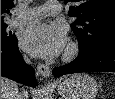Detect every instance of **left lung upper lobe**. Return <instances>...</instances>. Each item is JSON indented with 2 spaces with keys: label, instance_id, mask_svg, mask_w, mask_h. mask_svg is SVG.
Returning a JSON list of instances; mask_svg holds the SVG:
<instances>
[{
  "label": "left lung upper lobe",
  "instance_id": "obj_1",
  "mask_svg": "<svg viewBox=\"0 0 115 99\" xmlns=\"http://www.w3.org/2000/svg\"><path fill=\"white\" fill-rule=\"evenodd\" d=\"M72 1L68 15L77 19L71 28L78 38L79 53H88L106 46H115L114 0Z\"/></svg>",
  "mask_w": 115,
  "mask_h": 99
}]
</instances>
